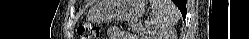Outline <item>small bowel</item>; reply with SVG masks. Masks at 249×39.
I'll return each mask as SVG.
<instances>
[{"label":"small bowel","mask_w":249,"mask_h":39,"mask_svg":"<svg viewBox=\"0 0 249 39\" xmlns=\"http://www.w3.org/2000/svg\"><path fill=\"white\" fill-rule=\"evenodd\" d=\"M107 34H108V38H127L130 36L129 33H127L126 31L118 28V27H110L107 30Z\"/></svg>","instance_id":"1"}]
</instances>
